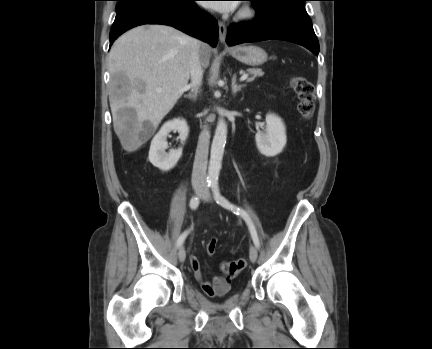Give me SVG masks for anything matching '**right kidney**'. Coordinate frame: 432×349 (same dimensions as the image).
I'll return each instance as SVG.
<instances>
[{
	"instance_id": "obj_1",
	"label": "right kidney",
	"mask_w": 432,
	"mask_h": 349,
	"mask_svg": "<svg viewBox=\"0 0 432 349\" xmlns=\"http://www.w3.org/2000/svg\"><path fill=\"white\" fill-rule=\"evenodd\" d=\"M171 131H178L181 142L186 141L189 134L186 120L173 119L166 122L151 141L148 159L162 171H169L175 167L182 155V148L165 152L168 148L167 135Z\"/></svg>"
}]
</instances>
